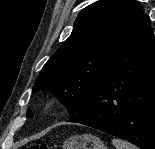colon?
<instances>
[{
    "instance_id": "1",
    "label": "colon",
    "mask_w": 155,
    "mask_h": 149,
    "mask_svg": "<svg viewBox=\"0 0 155 149\" xmlns=\"http://www.w3.org/2000/svg\"><path fill=\"white\" fill-rule=\"evenodd\" d=\"M48 145L45 143H33L29 146V149H48Z\"/></svg>"
}]
</instances>
